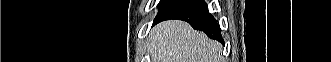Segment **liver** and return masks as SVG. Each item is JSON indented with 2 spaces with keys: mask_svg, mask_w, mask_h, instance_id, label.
<instances>
[{
  "mask_svg": "<svg viewBox=\"0 0 331 62\" xmlns=\"http://www.w3.org/2000/svg\"><path fill=\"white\" fill-rule=\"evenodd\" d=\"M152 62H220L222 45L178 20L156 26L149 40Z\"/></svg>",
  "mask_w": 331,
  "mask_h": 62,
  "instance_id": "liver-1",
  "label": "liver"
}]
</instances>
